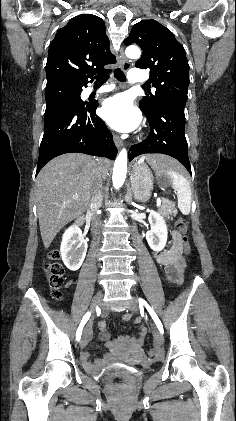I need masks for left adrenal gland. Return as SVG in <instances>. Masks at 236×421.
<instances>
[{
    "label": "left adrenal gland",
    "mask_w": 236,
    "mask_h": 421,
    "mask_svg": "<svg viewBox=\"0 0 236 421\" xmlns=\"http://www.w3.org/2000/svg\"><path fill=\"white\" fill-rule=\"evenodd\" d=\"M126 202H128V204H130V202H132V190H131V186H127V192H126Z\"/></svg>",
    "instance_id": "obj_1"
}]
</instances>
